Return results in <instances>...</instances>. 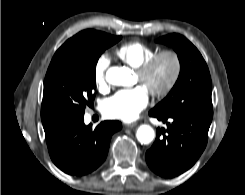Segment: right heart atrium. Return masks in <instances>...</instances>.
I'll return each instance as SVG.
<instances>
[{"instance_id": "obj_1", "label": "right heart atrium", "mask_w": 245, "mask_h": 195, "mask_svg": "<svg viewBox=\"0 0 245 195\" xmlns=\"http://www.w3.org/2000/svg\"><path fill=\"white\" fill-rule=\"evenodd\" d=\"M110 60L107 55L102 54L98 57L93 68V80L96 88L103 91L107 88L106 71Z\"/></svg>"}]
</instances>
